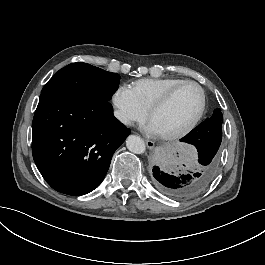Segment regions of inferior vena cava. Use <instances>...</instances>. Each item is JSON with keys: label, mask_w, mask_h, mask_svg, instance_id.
I'll return each mask as SVG.
<instances>
[{"label": "inferior vena cava", "mask_w": 265, "mask_h": 265, "mask_svg": "<svg viewBox=\"0 0 265 265\" xmlns=\"http://www.w3.org/2000/svg\"><path fill=\"white\" fill-rule=\"evenodd\" d=\"M115 115H116V116H119V112L116 111V112H115ZM122 122H123L124 124H129V121H128L127 119H122Z\"/></svg>", "instance_id": "1"}]
</instances>
